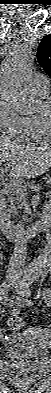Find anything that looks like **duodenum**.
Listing matches in <instances>:
<instances>
[{
	"mask_svg": "<svg viewBox=\"0 0 51 393\" xmlns=\"http://www.w3.org/2000/svg\"><path fill=\"white\" fill-rule=\"evenodd\" d=\"M51 222V214L44 211L42 217L27 226H16L9 218L6 211V201L4 197H0V228L2 233L11 239L17 240L22 238H30L34 234L46 230Z\"/></svg>",
	"mask_w": 51,
	"mask_h": 393,
	"instance_id": "obj_1",
	"label": "duodenum"
}]
</instances>
